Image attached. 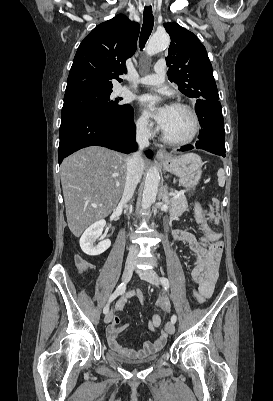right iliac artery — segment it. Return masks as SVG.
Instances as JSON below:
<instances>
[{"label":"right iliac artery","instance_id":"obj_1","mask_svg":"<svg viewBox=\"0 0 273 401\" xmlns=\"http://www.w3.org/2000/svg\"><path fill=\"white\" fill-rule=\"evenodd\" d=\"M126 289V283H121L117 289L115 290V292L110 296L108 303L106 304V306L103 309V313L107 314L109 312V304L110 302H112L116 297H118L119 295L123 294L125 292Z\"/></svg>","mask_w":273,"mask_h":401}]
</instances>
